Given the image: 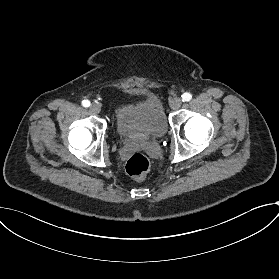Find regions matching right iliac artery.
<instances>
[{"label":"right iliac artery","instance_id":"obj_1","mask_svg":"<svg viewBox=\"0 0 279 279\" xmlns=\"http://www.w3.org/2000/svg\"><path fill=\"white\" fill-rule=\"evenodd\" d=\"M82 105H83L84 107H89V106H90V101H88V100H83V101H82Z\"/></svg>","mask_w":279,"mask_h":279}]
</instances>
